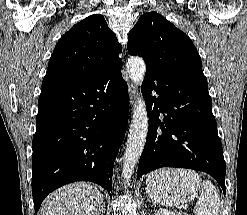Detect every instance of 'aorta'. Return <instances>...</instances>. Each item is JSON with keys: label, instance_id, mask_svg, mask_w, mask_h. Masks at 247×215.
<instances>
[{"label": "aorta", "instance_id": "aorta-1", "mask_svg": "<svg viewBox=\"0 0 247 215\" xmlns=\"http://www.w3.org/2000/svg\"><path fill=\"white\" fill-rule=\"evenodd\" d=\"M146 65L144 60L138 56H132L127 62V72L136 86H141L145 76ZM148 132V115L144 100L140 98L135 104L131 125L129 129L122 176L129 180L134 168L143 152Z\"/></svg>", "mask_w": 247, "mask_h": 215}]
</instances>
